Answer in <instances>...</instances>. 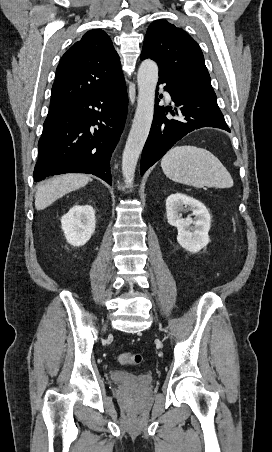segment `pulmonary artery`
<instances>
[{"label": "pulmonary artery", "instance_id": "1", "mask_svg": "<svg viewBox=\"0 0 272 452\" xmlns=\"http://www.w3.org/2000/svg\"><path fill=\"white\" fill-rule=\"evenodd\" d=\"M166 96L169 98V95H168V93L166 94Z\"/></svg>", "mask_w": 272, "mask_h": 452}]
</instances>
